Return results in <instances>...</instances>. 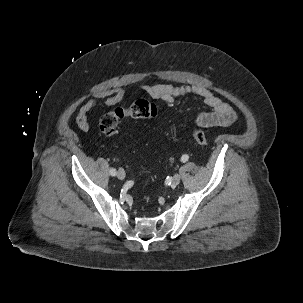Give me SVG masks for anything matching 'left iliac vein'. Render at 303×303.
Segmentation results:
<instances>
[{"mask_svg":"<svg viewBox=\"0 0 303 303\" xmlns=\"http://www.w3.org/2000/svg\"><path fill=\"white\" fill-rule=\"evenodd\" d=\"M181 177L179 174H175L171 180V186L176 187L180 183Z\"/></svg>","mask_w":303,"mask_h":303,"instance_id":"left-iliac-vein-1","label":"left iliac vein"}]
</instances>
